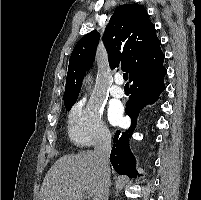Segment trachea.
<instances>
[{"instance_id": "obj_1", "label": "trachea", "mask_w": 201, "mask_h": 200, "mask_svg": "<svg viewBox=\"0 0 201 200\" xmlns=\"http://www.w3.org/2000/svg\"><path fill=\"white\" fill-rule=\"evenodd\" d=\"M123 78H124V80H128V73H124V74H123ZM125 86H129V84L126 83Z\"/></svg>"}]
</instances>
